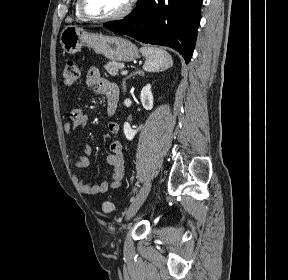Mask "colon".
<instances>
[{
	"instance_id": "5ec220e1",
	"label": "colon",
	"mask_w": 288,
	"mask_h": 280,
	"mask_svg": "<svg viewBox=\"0 0 288 280\" xmlns=\"http://www.w3.org/2000/svg\"><path fill=\"white\" fill-rule=\"evenodd\" d=\"M64 80L66 84L72 85L75 84L80 78V69L76 61L69 60L67 61L64 72ZM115 206L110 201H105L102 205V209L105 213H110L114 210Z\"/></svg>"
}]
</instances>
